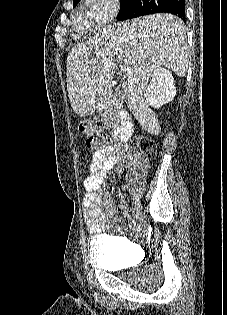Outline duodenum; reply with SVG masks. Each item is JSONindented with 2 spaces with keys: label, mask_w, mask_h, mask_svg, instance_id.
Returning <instances> with one entry per match:
<instances>
[{
  "label": "duodenum",
  "mask_w": 227,
  "mask_h": 315,
  "mask_svg": "<svg viewBox=\"0 0 227 315\" xmlns=\"http://www.w3.org/2000/svg\"><path fill=\"white\" fill-rule=\"evenodd\" d=\"M132 132L130 114L123 108H115L114 135L118 142L128 141Z\"/></svg>",
  "instance_id": "obj_1"
}]
</instances>
